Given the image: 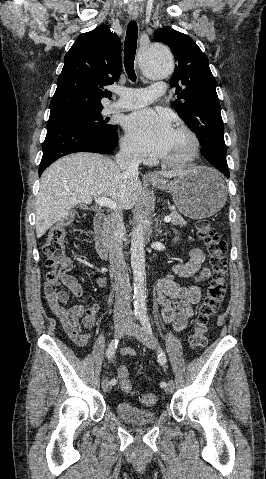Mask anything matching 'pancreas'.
Wrapping results in <instances>:
<instances>
[{"instance_id":"obj_1","label":"pancreas","mask_w":266,"mask_h":479,"mask_svg":"<svg viewBox=\"0 0 266 479\" xmlns=\"http://www.w3.org/2000/svg\"><path fill=\"white\" fill-rule=\"evenodd\" d=\"M170 217H171V224L173 225L185 226L187 224V222L176 210L171 211Z\"/></svg>"}]
</instances>
